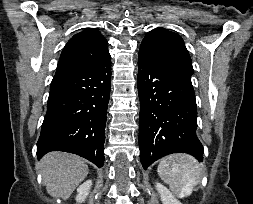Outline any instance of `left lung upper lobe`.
Segmentation results:
<instances>
[{"mask_svg":"<svg viewBox=\"0 0 253 204\" xmlns=\"http://www.w3.org/2000/svg\"><path fill=\"white\" fill-rule=\"evenodd\" d=\"M140 53L185 73L193 74L188 50L180 35L158 27L147 33L140 46Z\"/></svg>","mask_w":253,"mask_h":204,"instance_id":"left-lung-upper-lobe-1","label":"left lung upper lobe"}]
</instances>
